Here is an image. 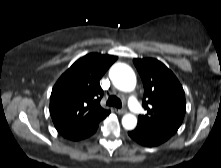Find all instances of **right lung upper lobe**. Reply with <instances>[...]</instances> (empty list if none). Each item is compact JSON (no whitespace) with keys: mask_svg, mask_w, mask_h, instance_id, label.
<instances>
[{"mask_svg":"<svg viewBox=\"0 0 221 168\" xmlns=\"http://www.w3.org/2000/svg\"><path fill=\"white\" fill-rule=\"evenodd\" d=\"M116 59L111 55L87 54L58 79L50 97V115L61 135L95 128L110 114L100 105L103 90L99 80Z\"/></svg>","mask_w":221,"mask_h":168,"instance_id":"right-lung-upper-lobe-1","label":"right lung upper lobe"}]
</instances>
